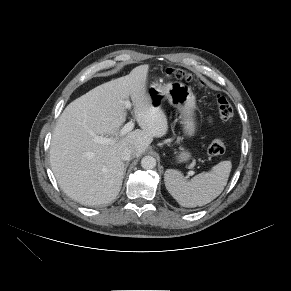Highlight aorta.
Instances as JSON below:
<instances>
[{"label":"aorta","instance_id":"obj_1","mask_svg":"<svg viewBox=\"0 0 291 291\" xmlns=\"http://www.w3.org/2000/svg\"><path fill=\"white\" fill-rule=\"evenodd\" d=\"M141 166L145 170L153 169L156 167V159L152 156H145L141 160Z\"/></svg>","mask_w":291,"mask_h":291}]
</instances>
